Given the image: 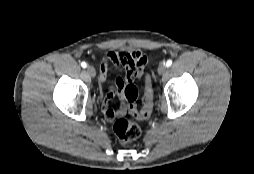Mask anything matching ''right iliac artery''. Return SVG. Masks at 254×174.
<instances>
[{
    "instance_id": "82829eb1",
    "label": "right iliac artery",
    "mask_w": 254,
    "mask_h": 174,
    "mask_svg": "<svg viewBox=\"0 0 254 174\" xmlns=\"http://www.w3.org/2000/svg\"><path fill=\"white\" fill-rule=\"evenodd\" d=\"M81 66H82L83 68H86L87 64H86L85 62H82V63H81Z\"/></svg>"
}]
</instances>
